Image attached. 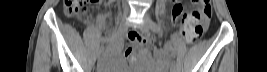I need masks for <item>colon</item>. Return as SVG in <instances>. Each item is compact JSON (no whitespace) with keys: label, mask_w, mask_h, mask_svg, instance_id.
Masks as SVG:
<instances>
[{"label":"colon","mask_w":267,"mask_h":72,"mask_svg":"<svg viewBox=\"0 0 267 72\" xmlns=\"http://www.w3.org/2000/svg\"><path fill=\"white\" fill-rule=\"evenodd\" d=\"M94 2H97V0H65V12L69 17H86L89 13V5ZM192 2L195 10L191 14L195 17V21L188 24L181 21L175 22L189 43L197 42L200 39L209 26L211 18L210 0H194ZM173 10L179 11L180 7L175 6Z\"/></svg>","instance_id":"1"}]
</instances>
